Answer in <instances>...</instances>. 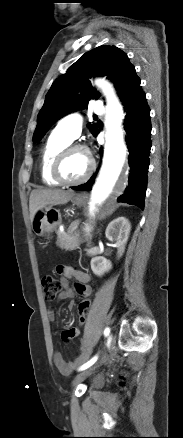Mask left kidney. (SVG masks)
Returning <instances> with one entry per match:
<instances>
[{
  "label": "left kidney",
  "mask_w": 183,
  "mask_h": 438,
  "mask_svg": "<svg viewBox=\"0 0 183 438\" xmlns=\"http://www.w3.org/2000/svg\"><path fill=\"white\" fill-rule=\"evenodd\" d=\"M131 230V224L125 217H118L112 220L105 231L106 238L114 242V246L118 249V258L122 256L125 250V245L128 241ZM112 268V264L104 257H94L91 260V269L97 276H102Z\"/></svg>",
  "instance_id": "left-kidney-1"
}]
</instances>
